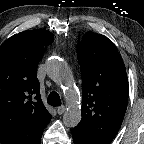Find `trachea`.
<instances>
[{
  "mask_svg": "<svg viewBox=\"0 0 144 144\" xmlns=\"http://www.w3.org/2000/svg\"><path fill=\"white\" fill-rule=\"evenodd\" d=\"M48 103L53 106V107H58L61 105V99L60 96L57 92L53 91L49 94L48 99H47Z\"/></svg>",
  "mask_w": 144,
  "mask_h": 144,
  "instance_id": "3493384b",
  "label": "trachea"
}]
</instances>
